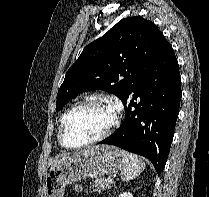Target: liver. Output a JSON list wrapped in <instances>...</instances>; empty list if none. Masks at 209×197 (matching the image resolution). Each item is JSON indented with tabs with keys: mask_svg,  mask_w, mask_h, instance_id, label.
Wrapping results in <instances>:
<instances>
[{
	"mask_svg": "<svg viewBox=\"0 0 209 197\" xmlns=\"http://www.w3.org/2000/svg\"><path fill=\"white\" fill-rule=\"evenodd\" d=\"M81 152H82V151H81ZM81 152H79V153H81ZM69 158H70V157H66V156H65V157L61 158L60 160L55 161L54 164L52 165L51 169L54 168L55 166H57V165H59V164L65 162V161H67Z\"/></svg>",
	"mask_w": 209,
	"mask_h": 197,
	"instance_id": "liver-1",
	"label": "liver"
}]
</instances>
